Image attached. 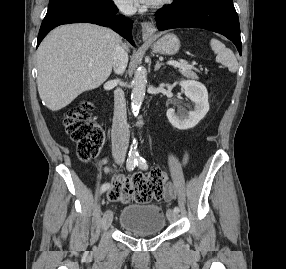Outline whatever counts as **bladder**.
<instances>
[{
    "label": "bladder",
    "mask_w": 286,
    "mask_h": 269,
    "mask_svg": "<svg viewBox=\"0 0 286 269\" xmlns=\"http://www.w3.org/2000/svg\"><path fill=\"white\" fill-rule=\"evenodd\" d=\"M166 213L158 205L131 203L122 208L119 226L130 233L157 234L166 228Z\"/></svg>",
    "instance_id": "bladder-1"
}]
</instances>
